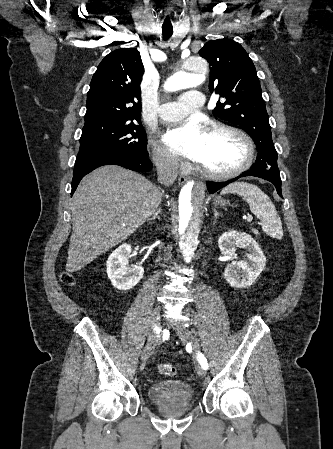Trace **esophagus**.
<instances>
[{"mask_svg":"<svg viewBox=\"0 0 333 449\" xmlns=\"http://www.w3.org/2000/svg\"><path fill=\"white\" fill-rule=\"evenodd\" d=\"M186 181H187V178L184 177V176H180L179 179H178V182H179L180 185L185 184Z\"/></svg>","mask_w":333,"mask_h":449,"instance_id":"obj_1","label":"esophagus"}]
</instances>
